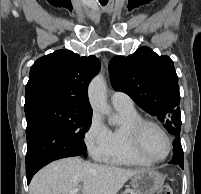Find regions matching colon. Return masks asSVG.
I'll use <instances>...</instances> for the list:
<instances>
[{
    "label": "colon",
    "mask_w": 201,
    "mask_h": 194,
    "mask_svg": "<svg viewBox=\"0 0 201 194\" xmlns=\"http://www.w3.org/2000/svg\"><path fill=\"white\" fill-rule=\"evenodd\" d=\"M157 194H173V191L169 185L162 186Z\"/></svg>",
    "instance_id": "1"
}]
</instances>
